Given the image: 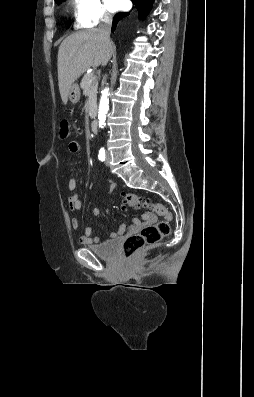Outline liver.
Here are the masks:
<instances>
[{
	"instance_id": "6515ba94",
	"label": "liver",
	"mask_w": 254,
	"mask_h": 397,
	"mask_svg": "<svg viewBox=\"0 0 254 397\" xmlns=\"http://www.w3.org/2000/svg\"><path fill=\"white\" fill-rule=\"evenodd\" d=\"M114 52L98 29H87L68 36L58 50V84L62 102L68 101L70 86L90 67L104 66Z\"/></svg>"
}]
</instances>
